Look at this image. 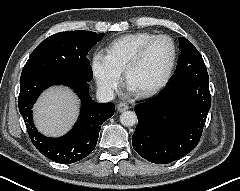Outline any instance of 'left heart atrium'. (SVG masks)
Here are the masks:
<instances>
[{"label": "left heart atrium", "mask_w": 240, "mask_h": 191, "mask_svg": "<svg viewBox=\"0 0 240 191\" xmlns=\"http://www.w3.org/2000/svg\"><path fill=\"white\" fill-rule=\"evenodd\" d=\"M129 89L134 90L129 84H128Z\"/></svg>", "instance_id": "39dd6f15"}]
</instances>
